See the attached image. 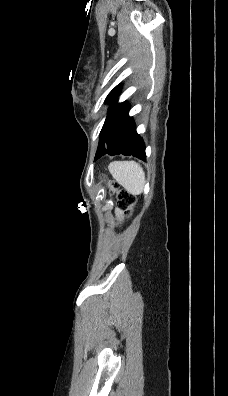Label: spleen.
I'll return each mask as SVG.
<instances>
[{"instance_id":"3e777b00","label":"spleen","mask_w":228,"mask_h":396,"mask_svg":"<svg viewBox=\"0 0 228 396\" xmlns=\"http://www.w3.org/2000/svg\"><path fill=\"white\" fill-rule=\"evenodd\" d=\"M113 178L132 195L142 193L145 185V173L134 161L112 162L108 166Z\"/></svg>"}]
</instances>
